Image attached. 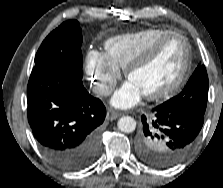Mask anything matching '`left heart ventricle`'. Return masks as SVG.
Instances as JSON below:
<instances>
[{
	"label": "left heart ventricle",
	"mask_w": 223,
	"mask_h": 188,
	"mask_svg": "<svg viewBox=\"0 0 223 188\" xmlns=\"http://www.w3.org/2000/svg\"><path fill=\"white\" fill-rule=\"evenodd\" d=\"M185 46L178 36L169 37L156 52L130 75L129 80L145 95L161 90L178 76Z\"/></svg>",
	"instance_id": "obj_1"
}]
</instances>
